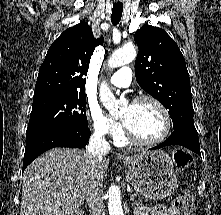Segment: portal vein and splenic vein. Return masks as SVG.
<instances>
[{"label": "portal vein and splenic vein", "mask_w": 221, "mask_h": 215, "mask_svg": "<svg viewBox=\"0 0 221 215\" xmlns=\"http://www.w3.org/2000/svg\"><path fill=\"white\" fill-rule=\"evenodd\" d=\"M130 199H131V200H134V196H131Z\"/></svg>", "instance_id": "1"}]
</instances>
